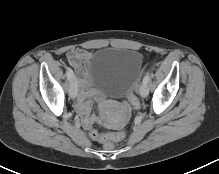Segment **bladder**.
Here are the masks:
<instances>
[{"mask_svg": "<svg viewBox=\"0 0 219 174\" xmlns=\"http://www.w3.org/2000/svg\"><path fill=\"white\" fill-rule=\"evenodd\" d=\"M142 63L143 56L137 50L103 48L92 55L87 71L92 86L102 94L124 96L138 76Z\"/></svg>", "mask_w": 219, "mask_h": 174, "instance_id": "bladder-1", "label": "bladder"}]
</instances>
